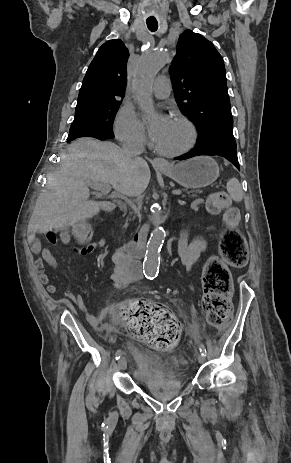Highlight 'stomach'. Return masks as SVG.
<instances>
[{"label": "stomach", "instance_id": "1", "mask_svg": "<svg viewBox=\"0 0 291 463\" xmlns=\"http://www.w3.org/2000/svg\"><path fill=\"white\" fill-rule=\"evenodd\" d=\"M161 172L180 185L189 188L206 187L219 177V167L214 159L198 156L177 165L161 168Z\"/></svg>", "mask_w": 291, "mask_h": 463}]
</instances>
